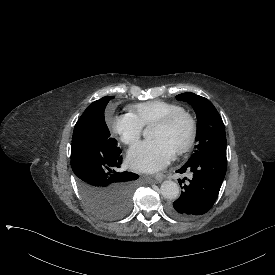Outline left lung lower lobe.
Instances as JSON below:
<instances>
[{
    "label": "left lung lower lobe",
    "instance_id": "0a47b994",
    "mask_svg": "<svg viewBox=\"0 0 275 275\" xmlns=\"http://www.w3.org/2000/svg\"><path fill=\"white\" fill-rule=\"evenodd\" d=\"M186 171L193 172V178L188 185H184V191L173 205L168 206L169 214L181 220L193 219L211 209L226 174V157L206 156L186 163L176 172Z\"/></svg>",
    "mask_w": 275,
    "mask_h": 275
}]
</instances>
